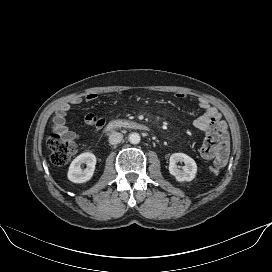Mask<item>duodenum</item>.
Masks as SVG:
<instances>
[{"instance_id": "1", "label": "duodenum", "mask_w": 272, "mask_h": 272, "mask_svg": "<svg viewBox=\"0 0 272 272\" xmlns=\"http://www.w3.org/2000/svg\"><path fill=\"white\" fill-rule=\"evenodd\" d=\"M127 128V129H134V130H148V127L136 121H129V120H112L107 123L105 129L107 132H111L117 129Z\"/></svg>"}]
</instances>
